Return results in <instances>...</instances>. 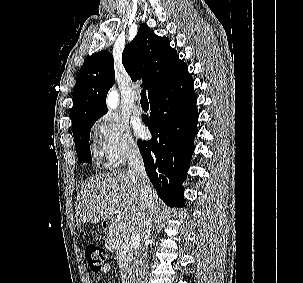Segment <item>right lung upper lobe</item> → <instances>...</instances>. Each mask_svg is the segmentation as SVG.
<instances>
[{
	"mask_svg": "<svg viewBox=\"0 0 303 283\" xmlns=\"http://www.w3.org/2000/svg\"><path fill=\"white\" fill-rule=\"evenodd\" d=\"M122 63L132 81L143 80L149 99L188 73L168 38L157 36L145 23L125 46ZM114 82V60L108 51L95 53L84 62L74 90L72 130L107 113L106 96Z\"/></svg>",
	"mask_w": 303,
	"mask_h": 283,
	"instance_id": "right-lung-upper-lobe-1",
	"label": "right lung upper lobe"
}]
</instances>
